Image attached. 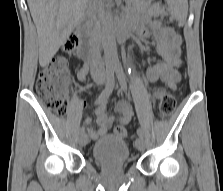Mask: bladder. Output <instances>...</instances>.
<instances>
[{"mask_svg":"<svg viewBox=\"0 0 223 191\" xmlns=\"http://www.w3.org/2000/svg\"><path fill=\"white\" fill-rule=\"evenodd\" d=\"M91 154L96 162L103 165L125 164L130 159V149L126 141L113 134L96 141Z\"/></svg>","mask_w":223,"mask_h":191,"instance_id":"obj_1","label":"bladder"}]
</instances>
